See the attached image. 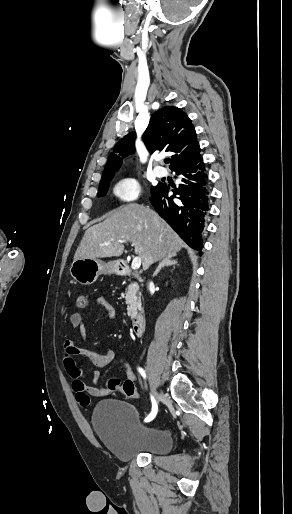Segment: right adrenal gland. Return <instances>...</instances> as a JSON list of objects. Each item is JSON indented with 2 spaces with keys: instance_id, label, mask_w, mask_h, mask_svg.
<instances>
[{
  "instance_id": "right-adrenal-gland-1",
  "label": "right adrenal gland",
  "mask_w": 292,
  "mask_h": 514,
  "mask_svg": "<svg viewBox=\"0 0 292 514\" xmlns=\"http://www.w3.org/2000/svg\"><path fill=\"white\" fill-rule=\"evenodd\" d=\"M172 258H174V256H168V258H164V260H162V262H159V266L158 268H156V272H154L153 274V278L154 276H157V274H159L161 268H165V266H179L177 260H172Z\"/></svg>"
}]
</instances>
